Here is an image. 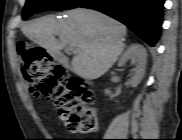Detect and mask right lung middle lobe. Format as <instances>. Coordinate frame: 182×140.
<instances>
[{
  "label": "right lung middle lobe",
  "mask_w": 182,
  "mask_h": 140,
  "mask_svg": "<svg viewBox=\"0 0 182 140\" xmlns=\"http://www.w3.org/2000/svg\"><path fill=\"white\" fill-rule=\"evenodd\" d=\"M87 0H27L22 11V18L26 20L34 13L47 10H69L77 8Z\"/></svg>",
  "instance_id": "obj_1"
}]
</instances>
